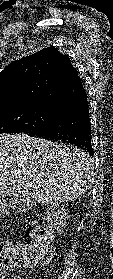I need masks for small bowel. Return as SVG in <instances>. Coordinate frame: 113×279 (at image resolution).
Listing matches in <instances>:
<instances>
[{"instance_id":"c3829d8e","label":"small bowel","mask_w":113,"mask_h":279,"mask_svg":"<svg viewBox=\"0 0 113 279\" xmlns=\"http://www.w3.org/2000/svg\"><path fill=\"white\" fill-rule=\"evenodd\" d=\"M0 279H3V274L1 273Z\"/></svg>"}]
</instances>
